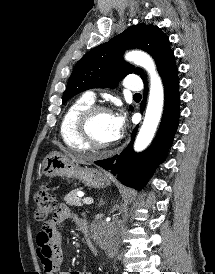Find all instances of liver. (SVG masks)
<instances>
[{
    "label": "liver",
    "mask_w": 215,
    "mask_h": 274,
    "mask_svg": "<svg viewBox=\"0 0 215 274\" xmlns=\"http://www.w3.org/2000/svg\"><path fill=\"white\" fill-rule=\"evenodd\" d=\"M65 153H66V155H67L68 157H70L74 162H76V163H81V164H84V163H85V161H84L81 157L74 156V155H72V154H70V153H68V152H65Z\"/></svg>",
    "instance_id": "1"
}]
</instances>
